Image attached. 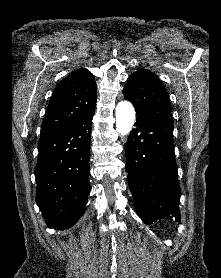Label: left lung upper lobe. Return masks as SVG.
<instances>
[{
  "label": "left lung upper lobe",
  "instance_id": "obj_1",
  "mask_svg": "<svg viewBox=\"0 0 221 278\" xmlns=\"http://www.w3.org/2000/svg\"><path fill=\"white\" fill-rule=\"evenodd\" d=\"M123 94L134 105L137 117L172 118L169 95L151 71L140 69L130 75Z\"/></svg>",
  "mask_w": 221,
  "mask_h": 278
}]
</instances>
